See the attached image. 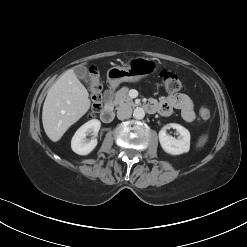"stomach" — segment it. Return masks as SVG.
Returning <instances> with one entry per match:
<instances>
[{
    "label": "stomach",
    "mask_w": 247,
    "mask_h": 247,
    "mask_svg": "<svg viewBox=\"0 0 247 247\" xmlns=\"http://www.w3.org/2000/svg\"><path fill=\"white\" fill-rule=\"evenodd\" d=\"M157 70L155 61L149 58L136 57L128 61L126 67L115 66L107 71L110 85L118 86L122 82H137Z\"/></svg>",
    "instance_id": "stomach-1"
}]
</instances>
